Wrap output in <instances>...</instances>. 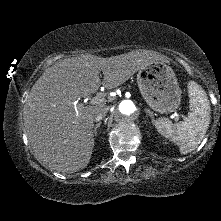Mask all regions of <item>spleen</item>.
<instances>
[{"label": "spleen", "instance_id": "obj_1", "mask_svg": "<svg viewBox=\"0 0 221 221\" xmlns=\"http://www.w3.org/2000/svg\"><path fill=\"white\" fill-rule=\"evenodd\" d=\"M190 112L185 121L173 124L168 118L155 122L157 131L179 146L181 154L195 150L210 124V103L206 92L194 81L188 82Z\"/></svg>", "mask_w": 221, "mask_h": 221}]
</instances>
